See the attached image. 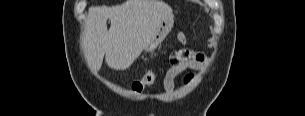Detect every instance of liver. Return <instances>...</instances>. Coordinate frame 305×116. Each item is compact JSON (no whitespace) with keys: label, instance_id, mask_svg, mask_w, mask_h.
Segmentation results:
<instances>
[{"label":"liver","instance_id":"liver-1","mask_svg":"<svg viewBox=\"0 0 305 116\" xmlns=\"http://www.w3.org/2000/svg\"><path fill=\"white\" fill-rule=\"evenodd\" d=\"M171 15L172 8L161 0H127L111 7H90L82 40L89 69L98 71L104 56L106 64L114 70L129 68L162 21Z\"/></svg>","mask_w":305,"mask_h":116}]
</instances>
